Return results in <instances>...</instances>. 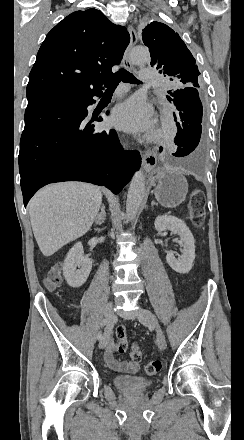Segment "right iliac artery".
Returning a JSON list of instances; mask_svg holds the SVG:
<instances>
[{"label":"right iliac artery","mask_w":244,"mask_h":440,"mask_svg":"<svg viewBox=\"0 0 244 440\" xmlns=\"http://www.w3.org/2000/svg\"><path fill=\"white\" fill-rule=\"evenodd\" d=\"M106 324H107V320L104 319V320L102 321V326H105ZM97 338H98V340H101V339H102V332H101V331L98 333Z\"/></svg>","instance_id":"1"}]
</instances>
